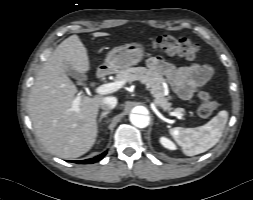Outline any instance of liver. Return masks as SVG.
<instances>
[{
	"label": "liver",
	"mask_w": 253,
	"mask_h": 200,
	"mask_svg": "<svg viewBox=\"0 0 253 200\" xmlns=\"http://www.w3.org/2000/svg\"><path fill=\"white\" fill-rule=\"evenodd\" d=\"M67 66L83 74L90 70L87 50L77 35L62 41L38 71L28 96V114L41 144L60 158L73 159L88 152L96 141L103 98L81 95L66 73Z\"/></svg>",
	"instance_id": "obj_1"
}]
</instances>
